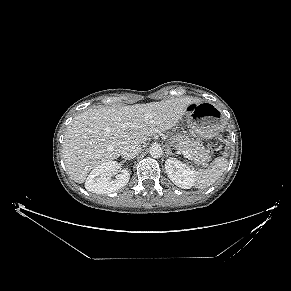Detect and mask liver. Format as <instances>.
Wrapping results in <instances>:
<instances>
[{"instance_id":"obj_1","label":"liver","mask_w":291,"mask_h":291,"mask_svg":"<svg viewBox=\"0 0 291 291\" xmlns=\"http://www.w3.org/2000/svg\"><path fill=\"white\" fill-rule=\"evenodd\" d=\"M198 98L186 96L119 108L88 109L73 118L64 136L63 160L72 180L83 183L96 166L117 159L127 144L172 129ZM126 122L133 127L124 128Z\"/></svg>"}]
</instances>
